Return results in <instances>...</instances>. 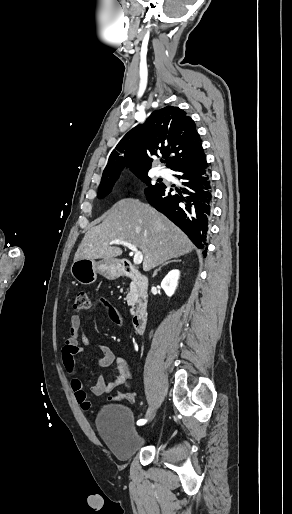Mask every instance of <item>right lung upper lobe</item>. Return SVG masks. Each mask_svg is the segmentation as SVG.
Listing matches in <instances>:
<instances>
[{
  "instance_id": "1",
  "label": "right lung upper lobe",
  "mask_w": 292,
  "mask_h": 514,
  "mask_svg": "<svg viewBox=\"0 0 292 514\" xmlns=\"http://www.w3.org/2000/svg\"><path fill=\"white\" fill-rule=\"evenodd\" d=\"M162 154L171 170L204 154L196 125L174 106L154 111L143 125L131 129L112 151L102 179L119 177L128 167L136 175L151 168V156Z\"/></svg>"
}]
</instances>
